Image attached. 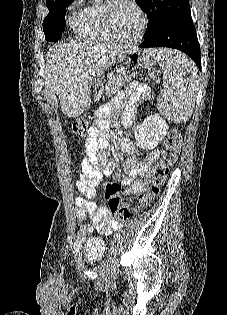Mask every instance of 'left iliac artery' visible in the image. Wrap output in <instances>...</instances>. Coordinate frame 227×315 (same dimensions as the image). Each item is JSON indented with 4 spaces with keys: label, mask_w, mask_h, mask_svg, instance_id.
I'll list each match as a JSON object with an SVG mask.
<instances>
[{
    "label": "left iliac artery",
    "mask_w": 227,
    "mask_h": 315,
    "mask_svg": "<svg viewBox=\"0 0 227 315\" xmlns=\"http://www.w3.org/2000/svg\"><path fill=\"white\" fill-rule=\"evenodd\" d=\"M114 239H115L116 241H119V240L121 239V235H120V234H116V235L114 236Z\"/></svg>",
    "instance_id": "44dca946"
}]
</instances>
